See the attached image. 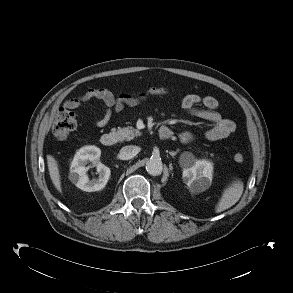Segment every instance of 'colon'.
<instances>
[{
	"mask_svg": "<svg viewBox=\"0 0 293 293\" xmlns=\"http://www.w3.org/2000/svg\"><path fill=\"white\" fill-rule=\"evenodd\" d=\"M167 92L164 87H151L146 90L147 94L152 95H163ZM77 126V120L73 112L66 110L64 108L59 109L57 112L53 126V135L58 139H65L72 131L75 130ZM234 160L238 163L244 160V155L237 152L234 155Z\"/></svg>",
	"mask_w": 293,
	"mask_h": 293,
	"instance_id": "1",
	"label": "colon"
}]
</instances>
